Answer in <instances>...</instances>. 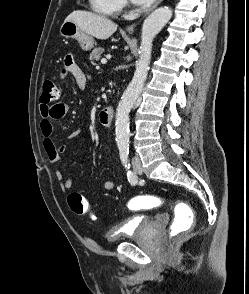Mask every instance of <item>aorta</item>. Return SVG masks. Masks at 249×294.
<instances>
[{"instance_id":"1","label":"aorta","mask_w":249,"mask_h":294,"mask_svg":"<svg viewBox=\"0 0 249 294\" xmlns=\"http://www.w3.org/2000/svg\"><path fill=\"white\" fill-rule=\"evenodd\" d=\"M172 17V10L161 7L153 11L142 26L139 60L132 81L123 93L116 110V142L118 147L129 145V113L140 96L146 81L152 54V43L155 36L162 30Z\"/></svg>"}]
</instances>
